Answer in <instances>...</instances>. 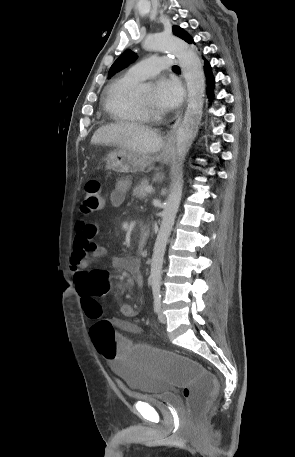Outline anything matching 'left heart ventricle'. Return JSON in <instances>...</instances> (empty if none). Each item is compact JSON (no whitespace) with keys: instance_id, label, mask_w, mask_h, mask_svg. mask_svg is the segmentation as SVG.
Here are the masks:
<instances>
[{"instance_id":"obj_1","label":"left heart ventricle","mask_w":295,"mask_h":457,"mask_svg":"<svg viewBox=\"0 0 295 457\" xmlns=\"http://www.w3.org/2000/svg\"><path fill=\"white\" fill-rule=\"evenodd\" d=\"M140 103L142 105H145V106H151L152 105V98L151 97H147L144 100H142Z\"/></svg>"}]
</instances>
